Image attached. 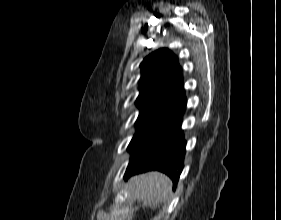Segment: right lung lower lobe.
I'll return each mask as SVG.
<instances>
[{
    "label": "right lung lower lobe",
    "instance_id": "obj_1",
    "mask_svg": "<svg viewBox=\"0 0 281 220\" xmlns=\"http://www.w3.org/2000/svg\"><path fill=\"white\" fill-rule=\"evenodd\" d=\"M184 110L133 158L126 170V177L149 170L167 174L176 186L183 169L186 141L181 130Z\"/></svg>",
    "mask_w": 281,
    "mask_h": 220
}]
</instances>
